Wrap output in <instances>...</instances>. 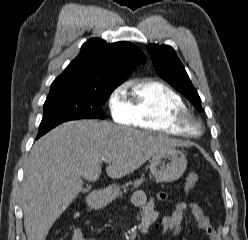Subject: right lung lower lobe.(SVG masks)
Segmentation results:
<instances>
[{
	"mask_svg": "<svg viewBox=\"0 0 248 240\" xmlns=\"http://www.w3.org/2000/svg\"><path fill=\"white\" fill-rule=\"evenodd\" d=\"M51 129L52 128L39 129V132H38L36 139H38L39 137H41L42 135H44L45 133H47Z\"/></svg>",
	"mask_w": 248,
	"mask_h": 240,
	"instance_id": "obj_1",
	"label": "right lung lower lobe"
}]
</instances>
